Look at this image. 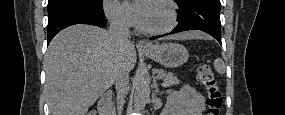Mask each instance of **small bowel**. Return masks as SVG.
Returning <instances> with one entry per match:
<instances>
[{
  "mask_svg": "<svg viewBox=\"0 0 285 115\" xmlns=\"http://www.w3.org/2000/svg\"><path fill=\"white\" fill-rule=\"evenodd\" d=\"M204 99L200 92L185 85L180 91H172L167 96L162 115H204Z\"/></svg>",
  "mask_w": 285,
  "mask_h": 115,
  "instance_id": "small-bowel-1",
  "label": "small bowel"
}]
</instances>
